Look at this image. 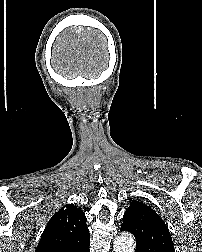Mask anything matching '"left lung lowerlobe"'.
<instances>
[{
  "instance_id": "left-lung-lower-lobe-1",
  "label": "left lung lower lobe",
  "mask_w": 202,
  "mask_h": 252,
  "mask_svg": "<svg viewBox=\"0 0 202 252\" xmlns=\"http://www.w3.org/2000/svg\"><path fill=\"white\" fill-rule=\"evenodd\" d=\"M120 231H124V229L121 228Z\"/></svg>"
}]
</instances>
